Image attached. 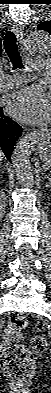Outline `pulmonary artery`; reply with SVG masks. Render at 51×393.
Returning <instances> with one entry per match:
<instances>
[{"instance_id":"1","label":"pulmonary artery","mask_w":51,"mask_h":393,"mask_svg":"<svg viewBox=\"0 0 51 393\" xmlns=\"http://www.w3.org/2000/svg\"><path fill=\"white\" fill-rule=\"evenodd\" d=\"M36 66L40 73L47 74L50 70L51 64L49 60H42L36 63ZM24 81V78L20 75H3L0 81V87L9 89L20 85Z\"/></svg>"}]
</instances>
